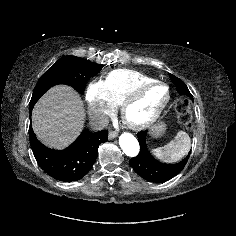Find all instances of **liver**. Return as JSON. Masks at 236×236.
<instances>
[{"mask_svg":"<svg viewBox=\"0 0 236 236\" xmlns=\"http://www.w3.org/2000/svg\"><path fill=\"white\" fill-rule=\"evenodd\" d=\"M85 112L79 94L69 86L58 85L46 92L32 113V126L45 145L63 149L83 129Z\"/></svg>","mask_w":236,"mask_h":236,"instance_id":"6515ba94","label":"liver"}]
</instances>
